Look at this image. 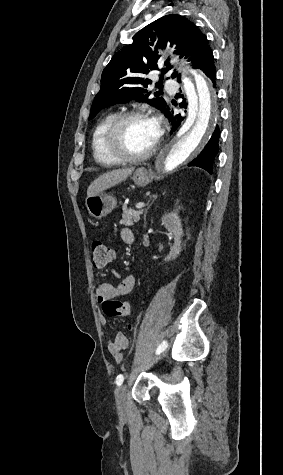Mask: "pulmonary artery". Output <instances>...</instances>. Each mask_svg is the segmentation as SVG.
I'll return each instance as SVG.
<instances>
[{"label": "pulmonary artery", "instance_id": "pulmonary-artery-1", "mask_svg": "<svg viewBox=\"0 0 283 475\" xmlns=\"http://www.w3.org/2000/svg\"><path fill=\"white\" fill-rule=\"evenodd\" d=\"M168 86H169V88L167 89V94L169 96H174L176 94V84H175V82L170 81L169 83H166L165 87L167 88Z\"/></svg>", "mask_w": 283, "mask_h": 475}]
</instances>
